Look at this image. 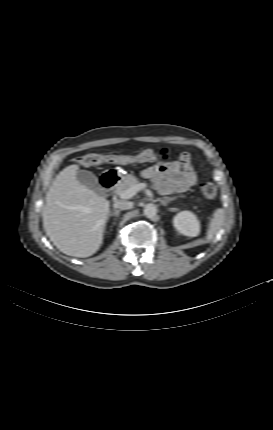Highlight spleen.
Here are the masks:
<instances>
[{
  "mask_svg": "<svg viewBox=\"0 0 273 430\" xmlns=\"http://www.w3.org/2000/svg\"><path fill=\"white\" fill-rule=\"evenodd\" d=\"M224 223V211L223 209H216L212 215L209 223V230L206 242L211 241L213 236L221 229Z\"/></svg>",
  "mask_w": 273,
  "mask_h": 430,
  "instance_id": "spleen-1",
  "label": "spleen"
}]
</instances>
